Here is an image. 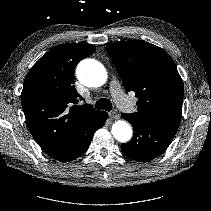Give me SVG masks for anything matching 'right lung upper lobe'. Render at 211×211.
Returning <instances> with one entry per match:
<instances>
[{
  "mask_svg": "<svg viewBox=\"0 0 211 211\" xmlns=\"http://www.w3.org/2000/svg\"><path fill=\"white\" fill-rule=\"evenodd\" d=\"M94 51L90 44H62L43 55L25 78L21 93L25 118L32 136L50 156L103 112L90 104L77 105L83 98L73 86L76 64Z\"/></svg>",
  "mask_w": 211,
  "mask_h": 211,
  "instance_id": "1",
  "label": "right lung upper lobe"
}]
</instances>
